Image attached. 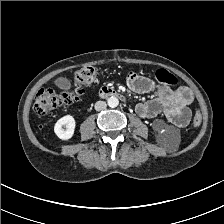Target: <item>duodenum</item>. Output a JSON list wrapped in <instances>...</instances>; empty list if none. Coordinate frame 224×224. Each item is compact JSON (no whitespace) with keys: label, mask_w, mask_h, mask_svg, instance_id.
Segmentation results:
<instances>
[{"label":"duodenum","mask_w":224,"mask_h":224,"mask_svg":"<svg viewBox=\"0 0 224 224\" xmlns=\"http://www.w3.org/2000/svg\"><path fill=\"white\" fill-rule=\"evenodd\" d=\"M98 95L100 97H110V96H116V97H119L121 98L122 100H125V96L120 93V92H117L116 90L112 89V88H109V87H103Z\"/></svg>","instance_id":"obj_1"}]
</instances>
